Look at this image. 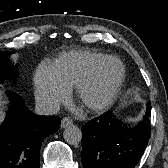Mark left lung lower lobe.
Returning a JSON list of instances; mask_svg holds the SVG:
<instances>
[{
    "label": "left lung lower lobe",
    "mask_w": 168,
    "mask_h": 168,
    "mask_svg": "<svg viewBox=\"0 0 168 168\" xmlns=\"http://www.w3.org/2000/svg\"><path fill=\"white\" fill-rule=\"evenodd\" d=\"M151 103L142 120L130 128L111 112L86 123L82 128L84 168H134L151 135Z\"/></svg>",
    "instance_id": "left-lung-lower-lobe-1"
}]
</instances>
